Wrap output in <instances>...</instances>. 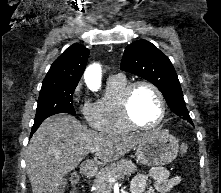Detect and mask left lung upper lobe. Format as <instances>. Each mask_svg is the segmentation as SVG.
Listing matches in <instances>:
<instances>
[{
    "label": "left lung upper lobe",
    "instance_id": "obj_1",
    "mask_svg": "<svg viewBox=\"0 0 221 193\" xmlns=\"http://www.w3.org/2000/svg\"><path fill=\"white\" fill-rule=\"evenodd\" d=\"M120 68L153 83L162 92L171 111L192 123L176 71L169 58L152 43L138 40L128 45Z\"/></svg>",
    "mask_w": 221,
    "mask_h": 193
}]
</instances>
